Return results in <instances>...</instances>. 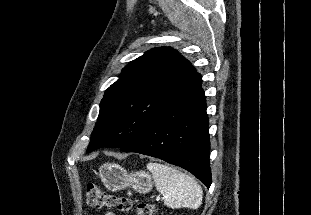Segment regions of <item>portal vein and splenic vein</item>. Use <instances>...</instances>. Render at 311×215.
I'll use <instances>...</instances> for the list:
<instances>
[{
  "label": "portal vein and splenic vein",
  "instance_id": "portal-vein-and-splenic-vein-1",
  "mask_svg": "<svg viewBox=\"0 0 311 215\" xmlns=\"http://www.w3.org/2000/svg\"><path fill=\"white\" fill-rule=\"evenodd\" d=\"M165 197H163L162 199H164ZM157 200H160V198H157Z\"/></svg>",
  "mask_w": 311,
  "mask_h": 215
}]
</instances>
